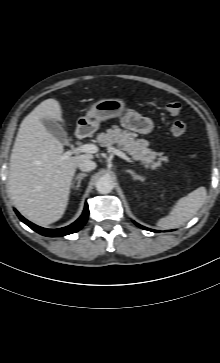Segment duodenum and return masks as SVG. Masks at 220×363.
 Masks as SVG:
<instances>
[{
    "label": "duodenum",
    "instance_id": "410a0bca",
    "mask_svg": "<svg viewBox=\"0 0 220 363\" xmlns=\"http://www.w3.org/2000/svg\"><path fill=\"white\" fill-rule=\"evenodd\" d=\"M89 128L87 127H79L77 130H76V137L78 139H84L86 138L88 135H89Z\"/></svg>",
    "mask_w": 220,
    "mask_h": 363
}]
</instances>
